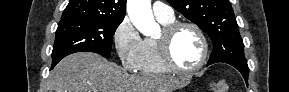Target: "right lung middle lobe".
Segmentation results:
<instances>
[{"label":"right lung middle lobe","mask_w":289,"mask_h":92,"mask_svg":"<svg viewBox=\"0 0 289 92\" xmlns=\"http://www.w3.org/2000/svg\"><path fill=\"white\" fill-rule=\"evenodd\" d=\"M122 21L87 19L61 20L56 30L52 64L65 56L88 51L110 57L112 37Z\"/></svg>","instance_id":"obj_1"}]
</instances>
